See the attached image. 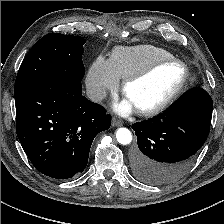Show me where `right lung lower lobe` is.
I'll return each instance as SVG.
<instances>
[{
	"instance_id": "right-lung-lower-lobe-1",
	"label": "right lung lower lobe",
	"mask_w": 224,
	"mask_h": 224,
	"mask_svg": "<svg viewBox=\"0 0 224 224\" xmlns=\"http://www.w3.org/2000/svg\"><path fill=\"white\" fill-rule=\"evenodd\" d=\"M81 89V83L48 81L15 98L19 141L33 166L49 177L83 172L93 139L111 125L105 109Z\"/></svg>"
}]
</instances>
